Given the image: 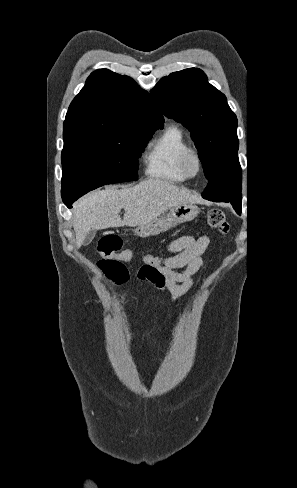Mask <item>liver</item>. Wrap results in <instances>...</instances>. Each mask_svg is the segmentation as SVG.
<instances>
[{
	"mask_svg": "<svg viewBox=\"0 0 297 488\" xmlns=\"http://www.w3.org/2000/svg\"><path fill=\"white\" fill-rule=\"evenodd\" d=\"M198 201L190 192L159 179H146L120 190L111 186L93 191L74 206L77 247H81L90 230L144 225L174 206ZM122 208L123 220L119 215Z\"/></svg>",
	"mask_w": 297,
	"mask_h": 488,
	"instance_id": "1",
	"label": "liver"
}]
</instances>
